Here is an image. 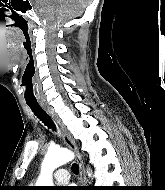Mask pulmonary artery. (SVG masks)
<instances>
[{"instance_id":"pulmonary-artery-1","label":"pulmonary artery","mask_w":165,"mask_h":190,"mask_svg":"<svg viewBox=\"0 0 165 190\" xmlns=\"http://www.w3.org/2000/svg\"><path fill=\"white\" fill-rule=\"evenodd\" d=\"M54 178L59 184H66L70 179V174L66 169H58L54 173Z\"/></svg>"}]
</instances>
